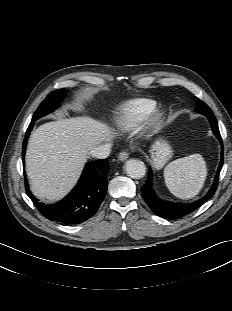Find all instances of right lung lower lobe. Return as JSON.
Returning a JSON list of instances; mask_svg holds the SVG:
<instances>
[{
	"mask_svg": "<svg viewBox=\"0 0 232 311\" xmlns=\"http://www.w3.org/2000/svg\"><path fill=\"white\" fill-rule=\"evenodd\" d=\"M35 121H31L26 138L23 142V158L25 155L27 139ZM109 162L107 159L96 160L86 164L77 186L63 200L56 204L45 205L40 203L30 192L25 175V186L28 196L36 208L47 219L65 224H79L97 212L108 187L107 173Z\"/></svg>",
	"mask_w": 232,
	"mask_h": 311,
	"instance_id": "obj_1",
	"label": "right lung lower lobe"
}]
</instances>
